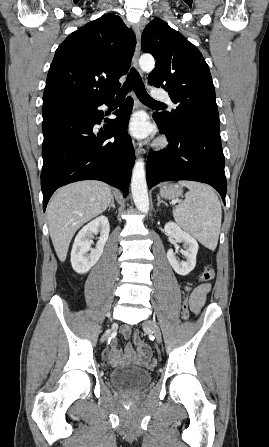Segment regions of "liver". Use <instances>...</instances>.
<instances>
[{
	"label": "liver",
	"mask_w": 269,
	"mask_h": 447,
	"mask_svg": "<svg viewBox=\"0 0 269 447\" xmlns=\"http://www.w3.org/2000/svg\"><path fill=\"white\" fill-rule=\"evenodd\" d=\"M111 200V188L103 182H75L57 190L47 208V220L60 261H65L75 231L105 212Z\"/></svg>",
	"instance_id": "obj_1"
}]
</instances>
